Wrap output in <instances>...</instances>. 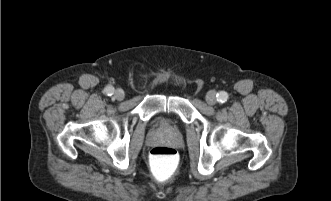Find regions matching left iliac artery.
Returning <instances> with one entry per match:
<instances>
[{
	"label": "left iliac artery",
	"instance_id": "1",
	"mask_svg": "<svg viewBox=\"0 0 331 201\" xmlns=\"http://www.w3.org/2000/svg\"><path fill=\"white\" fill-rule=\"evenodd\" d=\"M216 96H217V101H219L220 103H224L228 99V94L224 91L219 92Z\"/></svg>",
	"mask_w": 331,
	"mask_h": 201
}]
</instances>
